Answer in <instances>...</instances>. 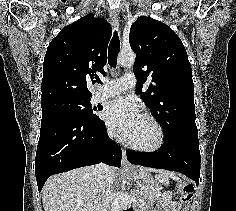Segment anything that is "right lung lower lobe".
Masks as SVG:
<instances>
[{
    "mask_svg": "<svg viewBox=\"0 0 236 211\" xmlns=\"http://www.w3.org/2000/svg\"><path fill=\"white\" fill-rule=\"evenodd\" d=\"M121 155L120 147L108 137L104 121L44 116L36 152L38 190L57 173L99 162L120 167Z\"/></svg>",
    "mask_w": 236,
    "mask_h": 211,
    "instance_id": "1",
    "label": "right lung lower lobe"
}]
</instances>
